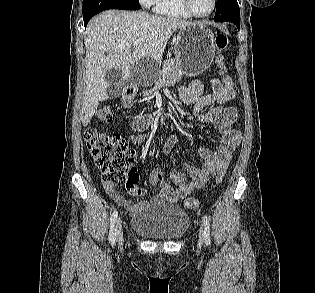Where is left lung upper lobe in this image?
<instances>
[{"label": "left lung upper lobe", "instance_id": "1", "mask_svg": "<svg viewBox=\"0 0 315 293\" xmlns=\"http://www.w3.org/2000/svg\"><path fill=\"white\" fill-rule=\"evenodd\" d=\"M214 20L216 22L240 21V10L237 0H217Z\"/></svg>", "mask_w": 315, "mask_h": 293}]
</instances>
